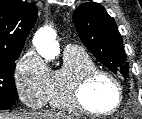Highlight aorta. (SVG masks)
I'll return each instance as SVG.
<instances>
[{"label":"aorta","instance_id":"obj_1","mask_svg":"<svg viewBox=\"0 0 142 119\" xmlns=\"http://www.w3.org/2000/svg\"><path fill=\"white\" fill-rule=\"evenodd\" d=\"M56 32L50 27L40 28L33 39L37 52L46 60L55 59L59 53V43Z\"/></svg>","mask_w":142,"mask_h":119}]
</instances>
